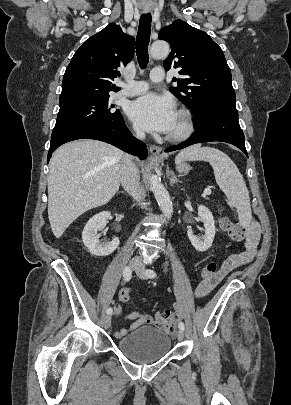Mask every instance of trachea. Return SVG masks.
Returning a JSON list of instances; mask_svg holds the SVG:
<instances>
[{
  "label": "trachea",
  "instance_id": "3493384b",
  "mask_svg": "<svg viewBox=\"0 0 291 405\" xmlns=\"http://www.w3.org/2000/svg\"><path fill=\"white\" fill-rule=\"evenodd\" d=\"M151 14H142L139 20V28L136 37V54L138 63L141 69H144L149 60L148 55V45L150 41V33H151Z\"/></svg>",
  "mask_w": 291,
  "mask_h": 405
}]
</instances>
